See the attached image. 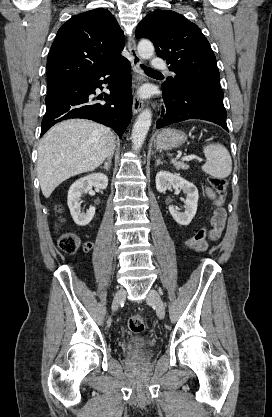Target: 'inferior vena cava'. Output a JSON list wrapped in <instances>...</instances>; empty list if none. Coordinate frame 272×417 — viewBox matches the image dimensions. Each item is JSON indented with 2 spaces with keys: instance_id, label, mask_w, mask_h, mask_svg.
<instances>
[{
  "instance_id": "inferior-vena-cava-1",
  "label": "inferior vena cava",
  "mask_w": 272,
  "mask_h": 417,
  "mask_svg": "<svg viewBox=\"0 0 272 417\" xmlns=\"http://www.w3.org/2000/svg\"><path fill=\"white\" fill-rule=\"evenodd\" d=\"M113 152H114V140L111 141V143L109 144L108 150H107L108 159L111 158V156L113 155Z\"/></svg>"
}]
</instances>
